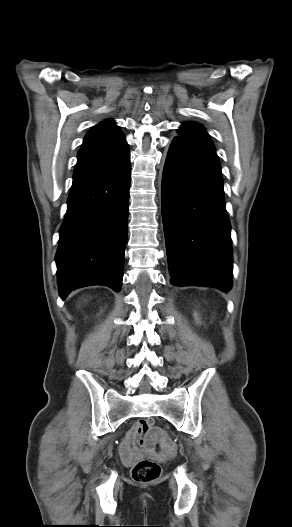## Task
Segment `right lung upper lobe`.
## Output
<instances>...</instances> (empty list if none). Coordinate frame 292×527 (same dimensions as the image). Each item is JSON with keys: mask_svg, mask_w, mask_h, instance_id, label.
Listing matches in <instances>:
<instances>
[{"mask_svg": "<svg viewBox=\"0 0 292 527\" xmlns=\"http://www.w3.org/2000/svg\"><path fill=\"white\" fill-rule=\"evenodd\" d=\"M122 142H125V138L119 127L113 120L107 119L87 133L81 149L113 147Z\"/></svg>", "mask_w": 292, "mask_h": 527, "instance_id": "right-lung-upper-lobe-1", "label": "right lung upper lobe"}]
</instances>
